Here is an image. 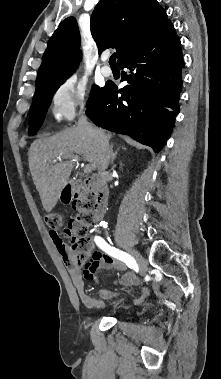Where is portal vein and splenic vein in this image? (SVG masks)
I'll return each mask as SVG.
<instances>
[{"label":"portal vein and splenic vein","instance_id":"18ae733b","mask_svg":"<svg viewBox=\"0 0 221 379\" xmlns=\"http://www.w3.org/2000/svg\"><path fill=\"white\" fill-rule=\"evenodd\" d=\"M58 159L61 160V158H58ZM71 161L77 162V161H79V157H73V158H71ZM91 171H92V166L90 164L85 165L84 173H90Z\"/></svg>","mask_w":221,"mask_h":379}]
</instances>
